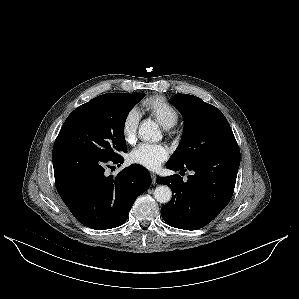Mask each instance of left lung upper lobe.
I'll use <instances>...</instances> for the list:
<instances>
[{"label": "left lung upper lobe", "mask_w": 299, "mask_h": 299, "mask_svg": "<svg viewBox=\"0 0 299 299\" xmlns=\"http://www.w3.org/2000/svg\"><path fill=\"white\" fill-rule=\"evenodd\" d=\"M170 102L181 112L185 125L179 146L168 163L185 165L237 144L225 116L213 105L188 94H176Z\"/></svg>", "instance_id": "5c2ea615"}]
</instances>
